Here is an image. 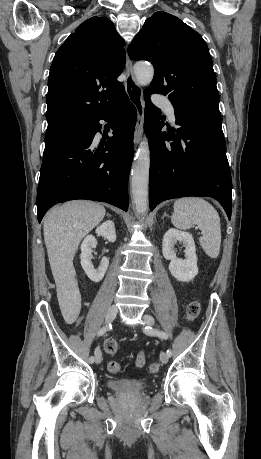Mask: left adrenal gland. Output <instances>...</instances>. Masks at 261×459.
I'll use <instances>...</instances> for the list:
<instances>
[{"label": "left adrenal gland", "mask_w": 261, "mask_h": 459, "mask_svg": "<svg viewBox=\"0 0 261 459\" xmlns=\"http://www.w3.org/2000/svg\"><path fill=\"white\" fill-rule=\"evenodd\" d=\"M165 216H168V215H167L166 213H164V215H163L162 219H164V217H165Z\"/></svg>", "instance_id": "left-adrenal-gland-1"}]
</instances>
